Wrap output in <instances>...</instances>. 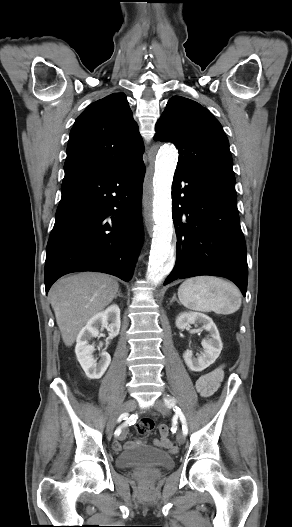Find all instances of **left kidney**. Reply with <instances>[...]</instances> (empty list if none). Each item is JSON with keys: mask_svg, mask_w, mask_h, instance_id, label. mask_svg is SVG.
Listing matches in <instances>:
<instances>
[{"mask_svg": "<svg viewBox=\"0 0 292 527\" xmlns=\"http://www.w3.org/2000/svg\"><path fill=\"white\" fill-rule=\"evenodd\" d=\"M190 324H202V328L210 333V337L204 339L201 343L204 351L199 357L194 358L191 350H187L183 354L187 367L191 371L201 372L219 357L223 344L219 331L209 316L198 312H184L176 318V327L178 329L184 330Z\"/></svg>", "mask_w": 292, "mask_h": 527, "instance_id": "obj_1", "label": "left kidney"}]
</instances>
